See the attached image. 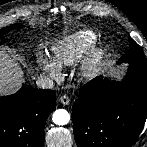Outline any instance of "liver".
Masks as SVG:
<instances>
[{
    "label": "liver",
    "mask_w": 147,
    "mask_h": 147,
    "mask_svg": "<svg viewBox=\"0 0 147 147\" xmlns=\"http://www.w3.org/2000/svg\"><path fill=\"white\" fill-rule=\"evenodd\" d=\"M23 82L22 68L0 49V95L16 91Z\"/></svg>",
    "instance_id": "1"
}]
</instances>
